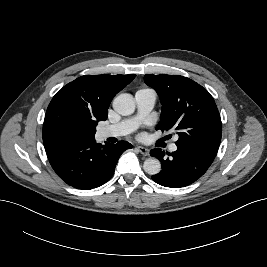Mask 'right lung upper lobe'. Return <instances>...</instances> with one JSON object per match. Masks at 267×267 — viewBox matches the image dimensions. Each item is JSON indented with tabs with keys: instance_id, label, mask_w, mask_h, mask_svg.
I'll return each mask as SVG.
<instances>
[{
	"instance_id": "right-lung-upper-lobe-1",
	"label": "right lung upper lobe",
	"mask_w": 267,
	"mask_h": 267,
	"mask_svg": "<svg viewBox=\"0 0 267 267\" xmlns=\"http://www.w3.org/2000/svg\"><path fill=\"white\" fill-rule=\"evenodd\" d=\"M131 75H85L65 85L52 98L44 119L43 140L64 139L66 127L74 124L94 138L98 121H105L113 97L129 84ZM95 135V134H94Z\"/></svg>"
}]
</instances>
